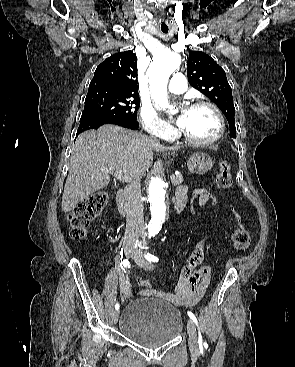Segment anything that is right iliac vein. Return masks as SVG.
Wrapping results in <instances>:
<instances>
[{"mask_svg":"<svg viewBox=\"0 0 295 367\" xmlns=\"http://www.w3.org/2000/svg\"><path fill=\"white\" fill-rule=\"evenodd\" d=\"M124 253L126 258H131L133 256L134 251L131 248H125ZM118 318H119V310H115L112 313V319L115 324L118 322Z\"/></svg>","mask_w":295,"mask_h":367,"instance_id":"right-iliac-vein-1","label":"right iliac vein"}]
</instances>
